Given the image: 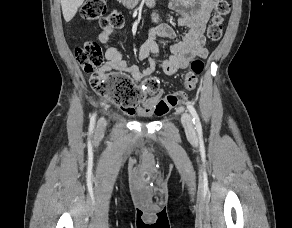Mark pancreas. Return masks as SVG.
Instances as JSON below:
<instances>
[{
	"mask_svg": "<svg viewBox=\"0 0 292 228\" xmlns=\"http://www.w3.org/2000/svg\"><path fill=\"white\" fill-rule=\"evenodd\" d=\"M122 2H128V1H131V2H136L137 0H121Z\"/></svg>",
	"mask_w": 292,
	"mask_h": 228,
	"instance_id": "cf45deb5",
	"label": "pancreas"
}]
</instances>
